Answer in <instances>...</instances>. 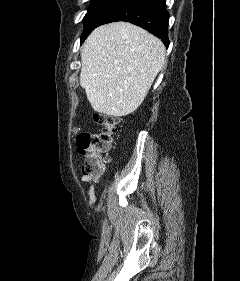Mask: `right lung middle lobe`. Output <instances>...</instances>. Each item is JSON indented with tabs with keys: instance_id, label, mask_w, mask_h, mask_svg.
<instances>
[{
	"instance_id": "dd1d6c3e",
	"label": "right lung middle lobe",
	"mask_w": 240,
	"mask_h": 281,
	"mask_svg": "<svg viewBox=\"0 0 240 281\" xmlns=\"http://www.w3.org/2000/svg\"><path fill=\"white\" fill-rule=\"evenodd\" d=\"M120 0H92L85 15L84 31L81 40H84L94 30L102 17Z\"/></svg>"
}]
</instances>
